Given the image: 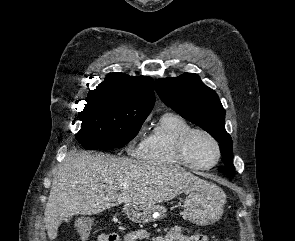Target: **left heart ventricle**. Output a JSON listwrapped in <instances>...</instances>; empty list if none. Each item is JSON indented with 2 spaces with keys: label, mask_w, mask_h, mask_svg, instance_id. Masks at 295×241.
Instances as JSON below:
<instances>
[{
  "label": "left heart ventricle",
  "mask_w": 295,
  "mask_h": 241,
  "mask_svg": "<svg viewBox=\"0 0 295 241\" xmlns=\"http://www.w3.org/2000/svg\"><path fill=\"white\" fill-rule=\"evenodd\" d=\"M187 154L192 163L208 166L215 161L217 151L209 138L203 134H195L188 145Z\"/></svg>",
  "instance_id": "1"
}]
</instances>
